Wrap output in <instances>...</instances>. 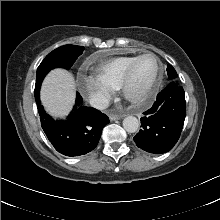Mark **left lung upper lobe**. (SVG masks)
Returning <instances> with one entry per match:
<instances>
[{
    "label": "left lung upper lobe",
    "instance_id": "1",
    "mask_svg": "<svg viewBox=\"0 0 220 220\" xmlns=\"http://www.w3.org/2000/svg\"><path fill=\"white\" fill-rule=\"evenodd\" d=\"M167 73L170 79L176 78L178 76L175 69L171 65H168Z\"/></svg>",
    "mask_w": 220,
    "mask_h": 220
}]
</instances>
